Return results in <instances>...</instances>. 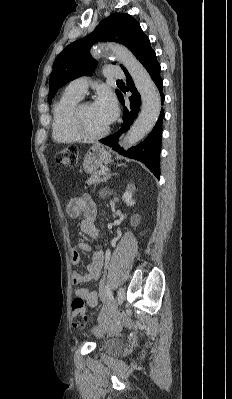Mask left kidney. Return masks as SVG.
Listing matches in <instances>:
<instances>
[{
  "label": "left kidney",
  "mask_w": 232,
  "mask_h": 399,
  "mask_svg": "<svg viewBox=\"0 0 232 399\" xmlns=\"http://www.w3.org/2000/svg\"><path fill=\"white\" fill-rule=\"evenodd\" d=\"M132 190L133 188H127L126 192H124L122 198L127 203V205H134L135 200H132Z\"/></svg>",
  "instance_id": "left-kidney-1"
}]
</instances>
